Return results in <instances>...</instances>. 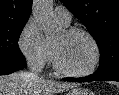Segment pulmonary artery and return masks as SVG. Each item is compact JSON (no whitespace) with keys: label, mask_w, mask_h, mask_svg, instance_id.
<instances>
[{"label":"pulmonary artery","mask_w":119,"mask_h":95,"mask_svg":"<svg viewBox=\"0 0 119 95\" xmlns=\"http://www.w3.org/2000/svg\"><path fill=\"white\" fill-rule=\"evenodd\" d=\"M54 17L65 26H68L71 22V14L64 6L55 7Z\"/></svg>","instance_id":"e3ab8cb5"}]
</instances>
